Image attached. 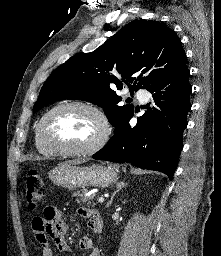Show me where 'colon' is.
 <instances>
[{
	"label": "colon",
	"mask_w": 221,
	"mask_h": 256,
	"mask_svg": "<svg viewBox=\"0 0 221 256\" xmlns=\"http://www.w3.org/2000/svg\"><path fill=\"white\" fill-rule=\"evenodd\" d=\"M26 204L30 209H35L46 195V187L40 174L31 169L25 177Z\"/></svg>",
	"instance_id": "5ec220e1"
}]
</instances>
